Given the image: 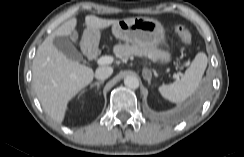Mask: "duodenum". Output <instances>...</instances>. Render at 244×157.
<instances>
[{"label": "duodenum", "mask_w": 244, "mask_h": 157, "mask_svg": "<svg viewBox=\"0 0 244 157\" xmlns=\"http://www.w3.org/2000/svg\"><path fill=\"white\" fill-rule=\"evenodd\" d=\"M88 55H89L90 57H92V56H93V52H92L91 50H88Z\"/></svg>", "instance_id": "obj_1"}]
</instances>
